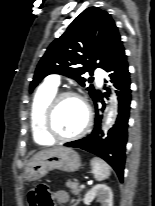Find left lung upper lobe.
Returning <instances> with one entry per match:
<instances>
[{
	"instance_id": "obj_1",
	"label": "left lung upper lobe",
	"mask_w": 155,
	"mask_h": 206,
	"mask_svg": "<svg viewBox=\"0 0 155 206\" xmlns=\"http://www.w3.org/2000/svg\"><path fill=\"white\" fill-rule=\"evenodd\" d=\"M122 48L118 28L110 14L89 7L48 47L36 68L30 92L49 74L74 78L84 86L86 79L82 75L97 67L105 70ZM87 90L93 98L94 87L90 85Z\"/></svg>"
}]
</instances>
